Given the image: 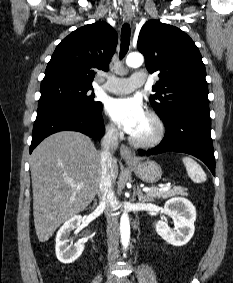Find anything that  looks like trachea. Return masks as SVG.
Returning <instances> with one entry per match:
<instances>
[{"mask_svg":"<svg viewBox=\"0 0 233 283\" xmlns=\"http://www.w3.org/2000/svg\"><path fill=\"white\" fill-rule=\"evenodd\" d=\"M130 44V25L125 23L121 30V48H120V59L124 58L128 52Z\"/></svg>","mask_w":233,"mask_h":283,"instance_id":"trachea-1","label":"trachea"}]
</instances>
